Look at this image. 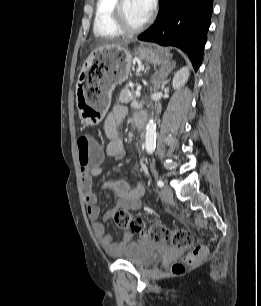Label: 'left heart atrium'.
I'll return each instance as SVG.
<instances>
[{
    "label": "left heart atrium",
    "instance_id": "1",
    "mask_svg": "<svg viewBox=\"0 0 261 306\" xmlns=\"http://www.w3.org/2000/svg\"><path fill=\"white\" fill-rule=\"evenodd\" d=\"M140 12L147 19L153 12L156 6L155 0H134Z\"/></svg>",
    "mask_w": 261,
    "mask_h": 306
}]
</instances>
